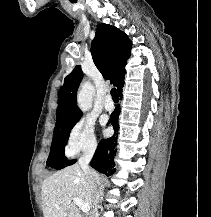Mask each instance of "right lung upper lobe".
Wrapping results in <instances>:
<instances>
[{
    "label": "right lung upper lobe",
    "mask_w": 211,
    "mask_h": 217,
    "mask_svg": "<svg viewBox=\"0 0 211 217\" xmlns=\"http://www.w3.org/2000/svg\"><path fill=\"white\" fill-rule=\"evenodd\" d=\"M132 43L128 36L108 24H100L91 44L93 61L104 79H110L118 90L124 85L125 64L131 52ZM83 78L81 66L77 65L66 76L58 94L56 127L80 119L82 112L76 102L78 86Z\"/></svg>",
    "instance_id": "1"
}]
</instances>
